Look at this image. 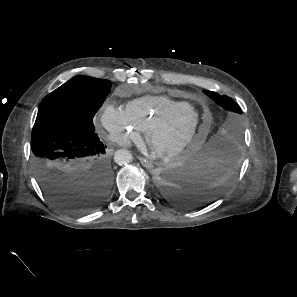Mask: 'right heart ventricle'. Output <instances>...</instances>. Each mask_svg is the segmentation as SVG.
I'll return each mask as SVG.
<instances>
[{
	"instance_id": "right-heart-ventricle-1",
	"label": "right heart ventricle",
	"mask_w": 297,
	"mask_h": 297,
	"mask_svg": "<svg viewBox=\"0 0 297 297\" xmlns=\"http://www.w3.org/2000/svg\"><path fill=\"white\" fill-rule=\"evenodd\" d=\"M183 100H175L164 95H146L130 101L125 111L136 127L145 132L148 126L165 112L187 106Z\"/></svg>"
}]
</instances>
